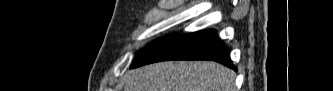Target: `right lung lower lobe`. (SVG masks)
<instances>
[{
	"label": "right lung lower lobe",
	"instance_id": "1",
	"mask_svg": "<svg viewBox=\"0 0 333 91\" xmlns=\"http://www.w3.org/2000/svg\"><path fill=\"white\" fill-rule=\"evenodd\" d=\"M215 34L214 30L172 34L135 61L131 68L167 60H212L236 70L224 43Z\"/></svg>",
	"mask_w": 333,
	"mask_h": 91
}]
</instances>
